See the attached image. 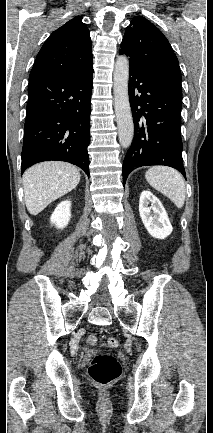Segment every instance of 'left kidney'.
I'll use <instances>...</instances> for the list:
<instances>
[{
  "mask_svg": "<svg viewBox=\"0 0 213 433\" xmlns=\"http://www.w3.org/2000/svg\"><path fill=\"white\" fill-rule=\"evenodd\" d=\"M151 203V206H148ZM139 213L148 233L157 239H165L172 233V225L160 202L150 191L144 190L140 195Z\"/></svg>",
  "mask_w": 213,
  "mask_h": 433,
  "instance_id": "1",
  "label": "left kidney"
}]
</instances>
